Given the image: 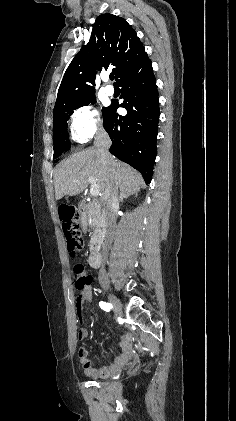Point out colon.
<instances>
[{"instance_id":"colon-1","label":"colon","mask_w":236,"mask_h":421,"mask_svg":"<svg viewBox=\"0 0 236 421\" xmlns=\"http://www.w3.org/2000/svg\"><path fill=\"white\" fill-rule=\"evenodd\" d=\"M62 215L64 219L63 230L67 241V248L71 254L75 255V253L81 248V231L77 222L71 219L69 209H66ZM72 278L75 288L80 292L86 290L92 283V276L81 264L74 266ZM78 354L82 356L84 354V349L80 348Z\"/></svg>"}]
</instances>
